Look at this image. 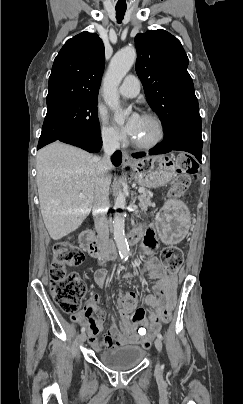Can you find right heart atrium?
Wrapping results in <instances>:
<instances>
[{
  "label": "right heart atrium",
  "mask_w": 243,
  "mask_h": 404,
  "mask_svg": "<svg viewBox=\"0 0 243 404\" xmlns=\"http://www.w3.org/2000/svg\"><path fill=\"white\" fill-rule=\"evenodd\" d=\"M97 121L100 138L105 145L116 149L125 145L124 136L108 124L106 115L103 111H98Z\"/></svg>",
  "instance_id": "1"
}]
</instances>
